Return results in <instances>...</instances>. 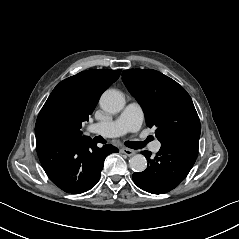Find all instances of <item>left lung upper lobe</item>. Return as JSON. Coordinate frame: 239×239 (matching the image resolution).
Returning a JSON list of instances; mask_svg holds the SVG:
<instances>
[{"mask_svg":"<svg viewBox=\"0 0 239 239\" xmlns=\"http://www.w3.org/2000/svg\"><path fill=\"white\" fill-rule=\"evenodd\" d=\"M122 79L141 104L148 127H156L161 144L174 141L199 142L200 121L186 90L159 71L124 70Z\"/></svg>","mask_w":239,"mask_h":239,"instance_id":"left-lung-upper-lobe-1","label":"left lung upper lobe"}]
</instances>
